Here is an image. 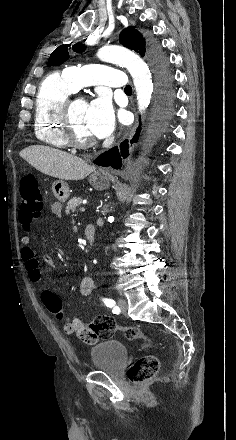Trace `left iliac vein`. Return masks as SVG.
Wrapping results in <instances>:
<instances>
[{
  "label": "left iliac vein",
  "instance_id": "1",
  "mask_svg": "<svg viewBox=\"0 0 236 440\" xmlns=\"http://www.w3.org/2000/svg\"><path fill=\"white\" fill-rule=\"evenodd\" d=\"M118 307L122 313H126L127 312V301L123 298H120L118 300Z\"/></svg>",
  "mask_w": 236,
  "mask_h": 440
}]
</instances>
